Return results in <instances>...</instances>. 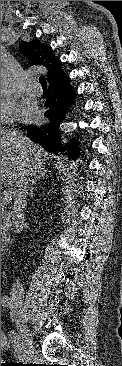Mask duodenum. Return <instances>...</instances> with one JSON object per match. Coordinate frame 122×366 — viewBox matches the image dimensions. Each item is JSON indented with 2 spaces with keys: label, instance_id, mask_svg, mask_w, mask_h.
<instances>
[{
  "label": "duodenum",
  "instance_id": "410a0bca",
  "mask_svg": "<svg viewBox=\"0 0 122 366\" xmlns=\"http://www.w3.org/2000/svg\"><path fill=\"white\" fill-rule=\"evenodd\" d=\"M5 244H6V238L4 239L1 238V250L4 248Z\"/></svg>",
  "mask_w": 122,
  "mask_h": 366
}]
</instances>
